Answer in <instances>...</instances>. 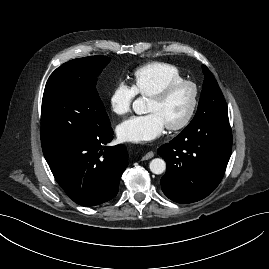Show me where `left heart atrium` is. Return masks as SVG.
<instances>
[{
  "instance_id": "39dd6f15",
  "label": "left heart atrium",
  "mask_w": 269,
  "mask_h": 269,
  "mask_svg": "<svg viewBox=\"0 0 269 269\" xmlns=\"http://www.w3.org/2000/svg\"><path fill=\"white\" fill-rule=\"evenodd\" d=\"M165 122L157 113L132 116L117 127L118 136L128 142L144 143L158 138L164 132Z\"/></svg>"
}]
</instances>
